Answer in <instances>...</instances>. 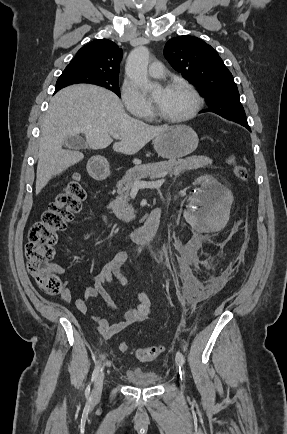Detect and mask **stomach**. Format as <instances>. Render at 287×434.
Returning <instances> with one entry per match:
<instances>
[{
  "instance_id": "0dacf381",
  "label": "stomach",
  "mask_w": 287,
  "mask_h": 434,
  "mask_svg": "<svg viewBox=\"0 0 287 434\" xmlns=\"http://www.w3.org/2000/svg\"><path fill=\"white\" fill-rule=\"evenodd\" d=\"M199 143L196 132L186 125L169 126L154 138L155 151L163 158L176 160L191 154Z\"/></svg>"
}]
</instances>
